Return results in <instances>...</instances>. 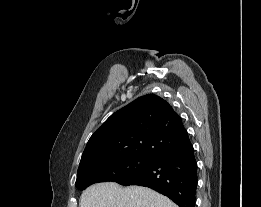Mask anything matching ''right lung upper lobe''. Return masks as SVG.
<instances>
[{
	"mask_svg": "<svg viewBox=\"0 0 261 207\" xmlns=\"http://www.w3.org/2000/svg\"><path fill=\"white\" fill-rule=\"evenodd\" d=\"M190 143L180 116L161 97L141 96L113 113L90 137L80 167L123 156H158Z\"/></svg>",
	"mask_w": 261,
	"mask_h": 207,
	"instance_id": "1",
	"label": "right lung upper lobe"
}]
</instances>
